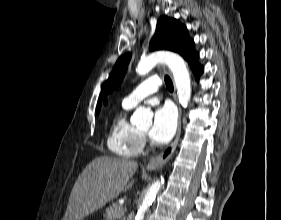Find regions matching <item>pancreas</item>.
Wrapping results in <instances>:
<instances>
[{
    "label": "pancreas",
    "mask_w": 281,
    "mask_h": 220,
    "mask_svg": "<svg viewBox=\"0 0 281 220\" xmlns=\"http://www.w3.org/2000/svg\"><path fill=\"white\" fill-rule=\"evenodd\" d=\"M122 209V206L112 203L105 209V220H124V214H119Z\"/></svg>",
    "instance_id": "cf45deb5"
}]
</instances>
